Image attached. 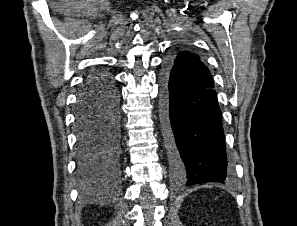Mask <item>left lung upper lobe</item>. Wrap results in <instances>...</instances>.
Returning <instances> with one entry per match:
<instances>
[{
    "label": "left lung upper lobe",
    "instance_id": "1",
    "mask_svg": "<svg viewBox=\"0 0 297 226\" xmlns=\"http://www.w3.org/2000/svg\"><path fill=\"white\" fill-rule=\"evenodd\" d=\"M168 60L171 63L173 72L191 88L206 89L214 87L208 68L197 55L189 51H180L169 57Z\"/></svg>",
    "mask_w": 297,
    "mask_h": 226
}]
</instances>
